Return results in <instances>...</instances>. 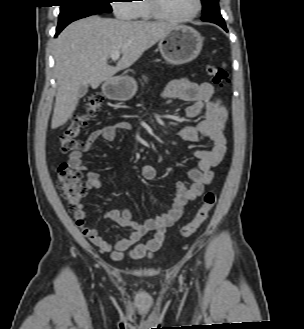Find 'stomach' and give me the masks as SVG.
<instances>
[{"label": "stomach", "instance_id": "obj_1", "mask_svg": "<svg viewBox=\"0 0 304 329\" xmlns=\"http://www.w3.org/2000/svg\"><path fill=\"white\" fill-rule=\"evenodd\" d=\"M203 46V37L195 29L185 25L175 26L158 44L160 53L166 62L180 65L194 60ZM137 90L131 77L111 79L102 87L104 95L117 101L131 99Z\"/></svg>", "mask_w": 304, "mask_h": 329}]
</instances>
